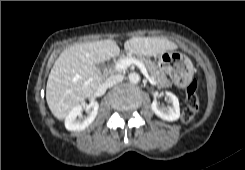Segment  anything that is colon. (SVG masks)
Returning a JSON list of instances; mask_svg holds the SVG:
<instances>
[{"label": "colon", "mask_w": 245, "mask_h": 170, "mask_svg": "<svg viewBox=\"0 0 245 170\" xmlns=\"http://www.w3.org/2000/svg\"><path fill=\"white\" fill-rule=\"evenodd\" d=\"M192 69L190 61L180 59V64L175 67L176 81L186 94V108L182 115V121L188 123L199 111V99L195 91V83L188 75Z\"/></svg>", "instance_id": "5ec220e1"}]
</instances>
